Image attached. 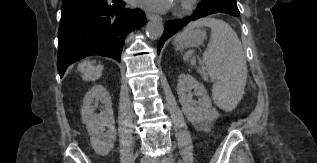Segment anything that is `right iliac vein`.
I'll return each instance as SVG.
<instances>
[{
    "instance_id": "1",
    "label": "right iliac vein",
    "mask_w": 317,
    "mask_h": 163,
    "mask_svg": "<svg viewBox=\"0 0 317 163\" xmlns=\"http://www.w3.org/2000/svg\"><path fill=\"white\" fill-rule=\"evenodd\" d=\"M141 163H150V161L147 160V159H142V160H141Z\"/></svg>"
}]
</instances>
